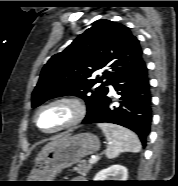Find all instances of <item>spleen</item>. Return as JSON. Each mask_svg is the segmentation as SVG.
Listing matches in <instances>:
<instances>
[{"instance_id": "1", "label": "spleen", "mask_w": 178, "mask_h": 186, "mask_svg": "<svg viewBox=\"0 0 178 186\" xmlns=\"http://www.w3.org/2000/svg\"><path fill=\"white\" fill-rule=\"evenodd\" d=\"M108 141L105 151L106 157L109 159L116 158L122 152L138 153L141 151V143L135 133L122 126L99 123Z\"/></svg>"}]
</instances>
